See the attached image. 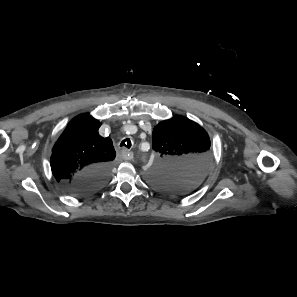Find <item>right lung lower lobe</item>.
<instances>
[{
  "label": "right lung lower lobe",
  "mask_w": 297,
  "mask_h": 297,
  "mask_svg": "<svg viewBox=\"0 0 297 297\" xmlns=\"http://www.w3.org/2000/svg\"><path fill=\"white\" fill-rule=\"evenodd\" d=\"M111 165H96L77 174L69 183V191L74 195H86L98 190L108 180Z\"/></svg>",
  "instance_id": "98d812e1"
}]
</instances>
